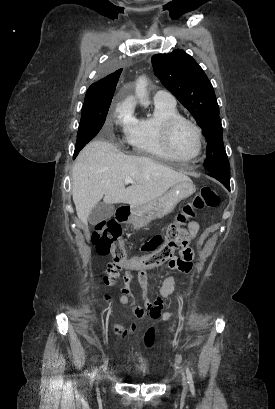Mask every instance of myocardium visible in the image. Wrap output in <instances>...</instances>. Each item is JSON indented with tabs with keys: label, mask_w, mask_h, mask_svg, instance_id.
Listing matches in <instances>:
<instances>
[{
	"label": "myocardium",
	"mask_w": 275,
	"mask_h": 409,
	"mask_svg": "<svg viewBox=\"0 0 275 409\" xmlns=\"http://www.w3.org/2000/svg\"><path fill=\"white\" fill-rule=\"evenodd\" d=\"M181 124H187L194 132L196 143H197V148H196V152L191 157H199L202 151L201 131L194 122H192L191 120L187 118L180 117V116L166 121L163 126V140H164V146H165L167 153L169 154L170 157H178L173 150L172 140H173L174 131Z\"/></svg>",
	"instance_id": "1"
}]
</instances>
